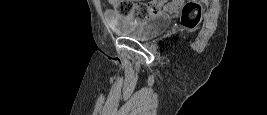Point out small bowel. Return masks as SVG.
I'll list each match as a JSON object with an SVG mask.
<instances>
[{"label": "small bowel", "mask_w": 267, "mask_h": 115, "mask_svg": "<svg viewBox=\"0 0 267 115\" xmlns=\"http://www.w3.org/2000/svg\"><path fill=\"white\" fill-rule=\"evenodd\" d=\"M183 4L184 2L181 0L171 1L163 7V11L171 14L178 13L179 11H181Z\"/></svg>", "instance_id": "1"}]
</instances>
